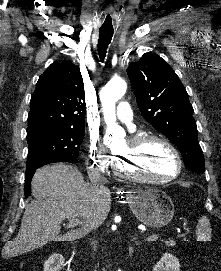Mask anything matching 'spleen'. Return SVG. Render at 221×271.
Segmentation results:
<instances>
[{"label": "spleen", "instance_id": "spleen-1", "mask_svg": "<svg viewBox=\"0 0 221 271\" xmlns=\"http://www.w3.org/2000/svg\"><path fill=\"white\" fill-rule=\"evenodd\" d=\"M196 229H197V241H210L211 225L206 215H203V217H200V219H198Z\"/></svg>", "mask_w": 221, "mask_h": 271}]
</instances>
